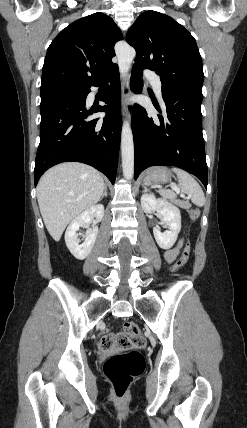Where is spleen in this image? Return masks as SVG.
<instances>
[{"instance_id": "spleen-1", "label": "spleen", "mask_w": 247, "mask_h": 428, "mask_svg": "<svg viewBox=\"0 0 247 428\" xmlns=\"http://www.w3.org/2000/svg\"><path fill=\"white\" fill-rule=\"evenodd\" d=\"M173 171L178 176V183L182 192L191 198L193 204L199 207L203 206L205 204V196L198 182L188 172L182 169L173 168ZM160 193L163 197L171 200L176 198V194L171 190L162 189Z\"/></svg>"}]
</instances>
